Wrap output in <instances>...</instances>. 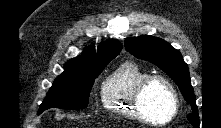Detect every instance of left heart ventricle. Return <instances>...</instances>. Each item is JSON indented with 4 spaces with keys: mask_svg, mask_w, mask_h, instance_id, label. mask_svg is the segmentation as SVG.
<instances>
[{
    "mask_svg": "<svg viewBox=\"0 0 221 128\" xmlns=\"http://www.w3.org/2000/svg\"><path fill=\"white\" fill-rule=\"evenodd\" d=\"M142 107L147 115L156 122L167 119L172 105L166 87L158 81L151 83L142 96Z\"/></svg>",
    "mask_w": 221,
    "mask_h": 128,
    "instance_id": "b2bd125f",
    "label": "left heart ventricle"
}]
</instances>
